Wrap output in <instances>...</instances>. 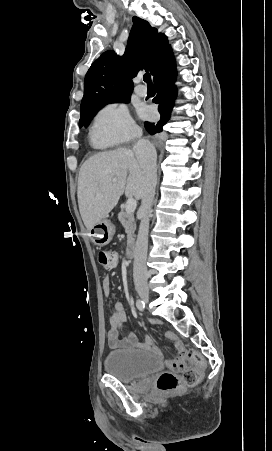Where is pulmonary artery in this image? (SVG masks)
Listing matches in <instances>:
<instances>
[{
  "label": "pulmonary artery",
  "instance_id": "1",
  "mask_svg": "<svg viewBox=\"0 0 272 451\" xmlns=\"http://www.w3.org/2000/svg\"><path fill=\"white\" fill-rule=\"evenodd\" d=\"M144 90H145V87H144V85H142V84H138V85H136V87H135V93H136L139 97H145L146 91H144Z\"/></svg>",
  "mask_w": 272,
  "mask_h": 451
}]
</instances>
